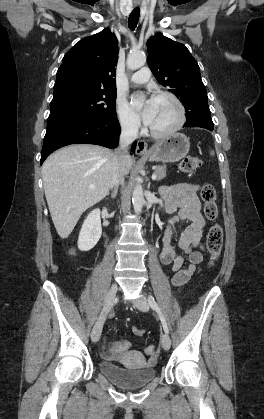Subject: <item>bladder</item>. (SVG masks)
Segmentation results:
<instances>
[{
  "mask_svg": "<svg viewBox=\"0 0 264 419\" xmlns=\"http://www.w3.org/2000/svg\"><path fill=\"white\" fill-rule=\"evenodd\" d=\"M98 366L105 377L124 389L141 388L150 383L156 376V370L145 363L137 368H129L102 360Z\"/></svg>",
  "mask_w": 264,
  "mask_h": 419,
  "instance_id": "bladder-1",
  "label": "bladder"
}]
</instances>
